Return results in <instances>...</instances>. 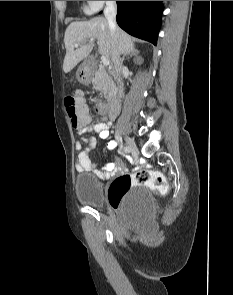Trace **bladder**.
Wrapping results in <instances>:
<instances>
[{
  "label": "bladder",
  "mask_w": 233,
  "mask_h": 295,
  "mask_svg": "<svg viewBox=\"0 0 233 295\" xmlns=\"http://www.w3.org/2000/svg\"><path fill=\"white\" fill-rule=\"evenodd\" d=\"M75 192L78 200L93 207H103L105 203V188L102 182L92 175L80 174L75 179ZM156 210V203L151 190L141 186L130 203L127 211L140 222L152 218Z\"/></svg>",
  "instance_id": "31cf9c89"
}]
</instances>
